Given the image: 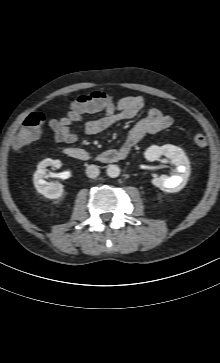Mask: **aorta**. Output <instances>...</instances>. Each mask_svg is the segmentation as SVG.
I'll list each match as a JSON object with an SVG mask.
<instances>
[{"mask_svg":"<svg viewBox=\"0 0 220 363\" xmlns=\"http://www.w3.org/2000/svg\"><path fill=\"white\" fill-rule=\"evenodd\" d=\"M106 172H107V175H108L109 177H111V178H116V177H118V176H119V174H120V168H119L117 165L112 164V165H109V166L107 167Z\"/></svg>","mask_w":220,"mask_h":363,"instance_id":"obj_1","label":"aorta"}]
</instances>
